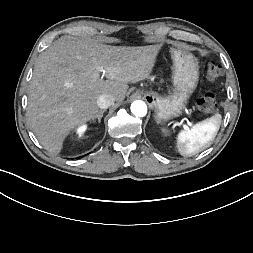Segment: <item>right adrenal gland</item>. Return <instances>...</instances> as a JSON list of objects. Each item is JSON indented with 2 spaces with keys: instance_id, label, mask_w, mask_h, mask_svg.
Masks as SVG:
<instances>
[{
  "instance_id": "2a0ac1e0",
  "label": "right adrenal gland",
  "mask_w": 253,
  "mask_h": 253,
  "mask_svg": "<svg viewBox=\"0 0 253 253\" xmlns=\"http://www.w3.org/2000/svg\"><path fill=\"white\" fill-rule=\"evenodd\" d=\"M105 112V110H100L97 115L93 118V121H95V119H98V122L101 121V118L103 117V113Z\"/></svg>"
}]
</instances>
